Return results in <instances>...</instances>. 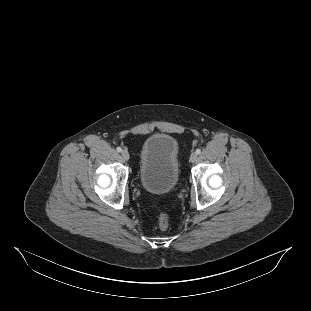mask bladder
Segmentation results:
<instances>
[{"mask_svg":"<svg viewBox=\"0 0 311 311\" xmlns=\"http://www.w3.org/2000/svg\"><path fill=\"white\" fill-rule=\"evenodd\" d=\"M181 177L180 149L177 140L167 133H154L140 148L137 178L151 194L172 191Z\"/></svg>","mask_w":311,"mask_h":311,"instance_id":"bladder-1","label":"bladder"}]
</instances>
